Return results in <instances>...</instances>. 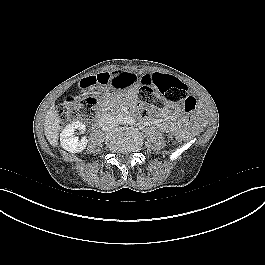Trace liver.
<instances>
[{"label":"liver","instance_id":"liver-1","mask_svg":"<svg viewBox=\"0 0 265 265\" xmlns=\"http://www.w3.org/2000/svg\"><path fill=\"white\" fill-rule=\"evenodd\" d=\"M59 130H60L59 116L55 111L54 107H51L45 116L44 132L46 138L48 139L49 143L52 146H56L58 143Z\"/></svg>","mask_w":265,"mask_h":265}]
</instances>
